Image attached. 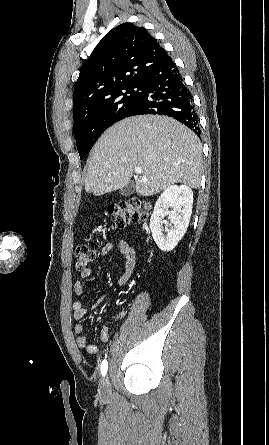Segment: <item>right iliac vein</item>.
I'll return each mask as SVG.
<instances>
[{
	"label": "right iliac vein",
	"mask_w": 269,
	"mask_h": 445,
	"mask_svg": "<svg viewBox=\"0 0 269 445\" xmlns=\"http://www.w3.org/2000/svg\"><path fill=\"white\" fill-rule=\"evenodd\" d=\"M99 394L102 398H107L110 394V382L108 376L105 377L99 385Z\"/></svg>",
	"instance_id": "1"
}]
</instances>
